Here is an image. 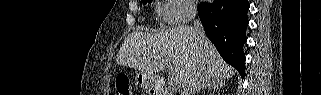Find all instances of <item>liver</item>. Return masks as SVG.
I'll return each instance as SVG.
<instances>
[{"instance_id":"1","label":"liver","mask_w":321,"mask_h":95,"mask_svg":"<svg viewBox=\"0 0 321 95\" xmlns=\"http://www.w3.org/2000/svg\"><path fill=\"white\" fill-rule=\"evenodd\" d=\"M163 60L172 64L180 87L198 69H203L205 80H225L235 74L206 36L198 41L193 28L185 25L154 34L134 32L125 39L117 55L118 65L138 69L153 79L163 72Z\"/></svg>"}]
</instances>
